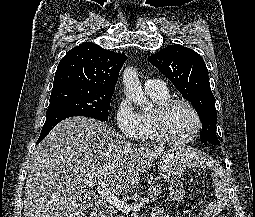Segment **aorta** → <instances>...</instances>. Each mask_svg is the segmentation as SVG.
I'll use <instances>...</instances> for the list:
<instances>
[{
  "label": "aorta",
  "mask_w": 255,
  "mask_h": 217,
  "mask_svg": "<svg viewBox=\"0 0 255 217\" xmlns=\"http://www.w3.org/2000/svg\"><path fill=\"white\" fill-rule=\"evenodd\" d=\"M123 84L126 96L140 109L147 110L151 108V104L145 97L142 85L137 76L136 69L127 67L123 72Z\"/></svg>",
  "instance_id": "aorta-1"
}]
</instances>
